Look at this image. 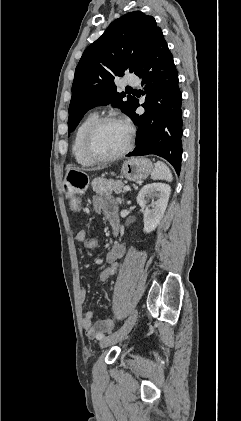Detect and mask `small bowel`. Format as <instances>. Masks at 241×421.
Listing matches in <instances>:
<instances>
[{
    "label": "small bowel",
    "instance_id": "c3829d8e",
    "mask_svg": "<svg viewBox=\"0 0 241 421\" xmlns=\"http://www.w3.org/2000/svg\"><path fill=\"white\" fill-rule=\"evenodd\" d=\"M95 208L98 212L103 213L108 219L113 216L117 215V206L113 199L105 198L102 196H97L94 200ZM87 238V232L85 230H80L76 234V241L79 243H84ZM125 252V244L123 242H116L108 251L106 258L104 260L98 261V263H106L111 264L113 262H117L119 259L122 258ZM86 290L81 288L79 290V298L82 302L85 301L86 298ZM94 313L93 311L89 310L85 313L83 318V327L85 329V334L89 338L97 339L101 335H103L104 331L110 329L112 327V321L110 319H102L95 324L93 323Z\"/></svg>",
    "mask_w": 241,
    "mask_h": 421
}]
</instances>
